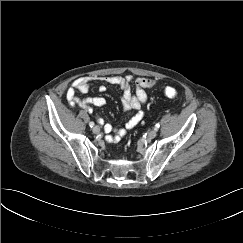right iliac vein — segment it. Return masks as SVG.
<instances>
[{
  "label": "right iliac vein",
  "instance_id": "1",
  "mask_svg": "<svg viewBox=\"0 0 243 243\" xmlns=\"http://www.w3.org/2000/svg\"><path fill=\"white\" fill-rule=\"evenodd\" d=\"M92 131H93L94 134H98L100 132V127L99 126H95V127H93Z\"/></svg>",
  "mask_w": 243,
  "mask_h": 243
}]
</instances>
